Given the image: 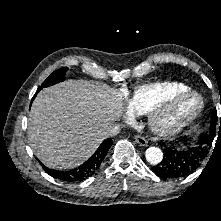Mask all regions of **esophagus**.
<instances>
[{
	"mask_svg": "<svg viewBox=\"0 0 221 221\" xmlns=\"http://www.w3.org/2000/svg\"><path fill=\"white\" fill-rule=\"evenodd\" d=\"M135 141L141 146H147V140L140 135L135 136Z\"/></svg>",
	"mask_w": 221,
	"mask_h": 221,
	"instance_id": "obj_1",
	"label": "esophagus"
}]
</instances>
